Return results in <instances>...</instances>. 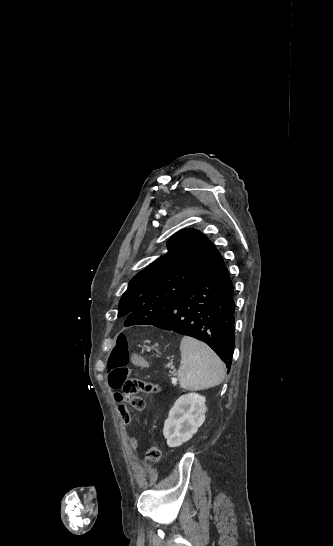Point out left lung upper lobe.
Returning <instances> with one entry per match:
<instances>
[{
	"mask_svg": "<svg viewBox=\"0 0 333 546\" xmlns=\"http://www.w3.org/2000/svg\"><path fill=\"white\" fill-rule=\"evenodd\" d=\"M168 252L139 272L121 297L118 316L138 312L153 323L195 280L214 246L201 232L183 229L167 242Z\"/></svg>",
	"mask_w": 333,
	"mask_h": 546,
	"instance_id": "5c2ea615",
	"label": "left lung upper lobe"
}]
</instances>
